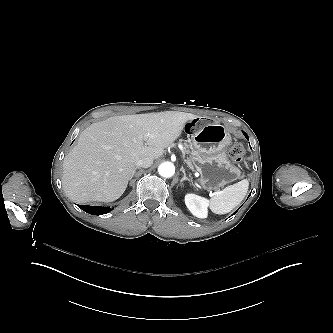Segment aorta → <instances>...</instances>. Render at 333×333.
<instances>
[{
  "mask_svg": "<svg viewBox=\"0 0 333 333\" xmlns=\"http://www.w3.org/2000/svg\"><path fill=\"white\" fill-rule=\"evenodd\" d=\"M159 174L164 178H170L175 174V167L170 162L162 163L158 167Z\"/></svg>",
  "mask_w": 333,
  "mask_h": 333,
  "instance_id": "obj_1",
  "label": "aorta"
}]
</instances>
